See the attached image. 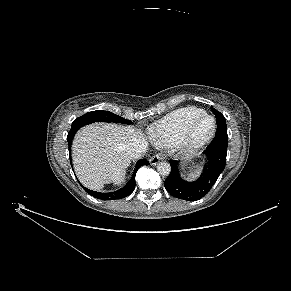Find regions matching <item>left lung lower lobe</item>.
I'll return each mask as SVG.
<instances>
[{
    "instance_id": "1",
    "label": "left lung lower lobe",
    "mask_w": 291,
    "mask_h": 291,
    "mask_svg": "<svg viewBox=\"0 0 291 291\" xmlns=\"http://www.w3.org/2000/svg\"><path fill=\"white\" fill-rule=\"evenodd\" d=\"M227 144V130L217 129L214 140L204 151L208 165L203 175L193 182L183 180L179 175L177 162L171 160V172L164 182L166 190L172 196L188 201H196L204 197L225 168Z\"/></svg>"
}]
</instances>
